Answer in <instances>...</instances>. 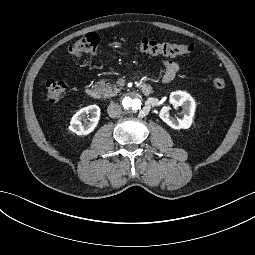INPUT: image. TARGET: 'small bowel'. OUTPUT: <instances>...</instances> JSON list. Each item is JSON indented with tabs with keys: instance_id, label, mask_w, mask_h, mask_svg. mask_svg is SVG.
<instances>
[{
	"instance_id": "1",
	"label": "small bowel",
	"mask_w": 255,
	"mask_h": 255,
	"mask_svg": "<svg viewBox=\"0 0 255 255\" xmlns=\"http://www.w3.org/2000/svg\"><path fill=\"white\" fill-rule=\"evenodd\" d=\"M164 66V72L162 75V81L164 83H169L175 79L177 76L180 65L177 61L172 60V59H167L162 62Z\"/></svg>"
}]
</instances>
